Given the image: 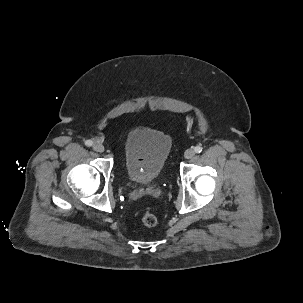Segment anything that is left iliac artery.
I'll return each mask as SVG.
<instances>
[{"label": "left iliac artery", "mask_w": 303, "mask_h": 303, "mask_svg": "<svg viewBox=\"0 0 303 303\" xmlns=\"http://www.w3.org/2000/svg\"><path fill=\"white\" fill-rule=\"evenodd\" d=\"M194 151H195L196 153H200V152H202V147L196 146V147L194 148Z\"/></svg>", "instance_id": "1"}]
</instances>
